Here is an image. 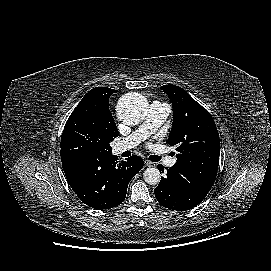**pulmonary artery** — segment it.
Listing matches in <instances>:
<instances>
[{
  "instance_id": "e3ab8cb5",
  "label": "pulmonary artery",
  "mask_w": 271,
  "mask_h": 271,
  "mask_svg": "<svg viewBox=\"0 0 271 271\" xmlns=\"http://www.w3.org/2000/svg\"><path fill=\"white\" fill-rule=\"evenodd\" d=\"M170 111L171 108L167 103L159 101L152 102L144 124L133 131L128 137L117 143L114 147V152L120 154L139 145L161 126L170 114ZM166 163L168 166H173L176 163V158H170Z\"/></svg>"
}]
</instances>
